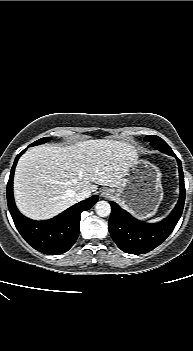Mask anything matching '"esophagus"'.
<instances>
[{
  "mask_svg": "<svg viewBox=\"0 0 193 351\" xmlns=\"http://www.w3.org/2000/svg\"><path fill=\"white\" fill-rule=\"evenodd\" d=\"M111 190L110 189H103L101 192V196L104 198H109L111 197Z\"/></svg>",
  "mask_w": 193,
  "mask_h": 351,
  "instance_id": "1",
  "label": "esophagus"
}]
</instances>
